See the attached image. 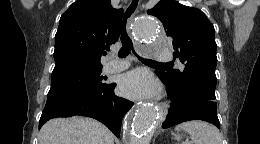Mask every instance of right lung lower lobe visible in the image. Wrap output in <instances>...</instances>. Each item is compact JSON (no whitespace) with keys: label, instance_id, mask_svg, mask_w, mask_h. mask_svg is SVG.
Here are the masks:
<instances>
[{"label":"right lung lower lobe","instance_id":"1","mask_svg":"<svg viewBox=\"0 0 260 144\" xmlns=\"http://www.w3.org/2000/svg\"><path fill=\"white\" fill-rule=\"evenodd\" d=\"M115 86V83H111L96 91L67 90L49 93L39 128L52 118L82 115L102 122L120 137L122 119L133 102L117 97L114 94Z\"/></svg>","mask_w":260,"mask_h":144}]
</instances>
